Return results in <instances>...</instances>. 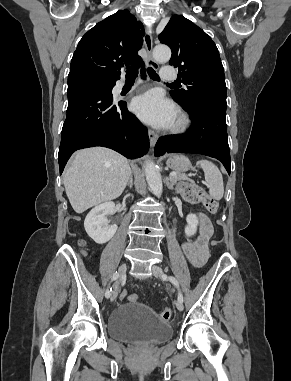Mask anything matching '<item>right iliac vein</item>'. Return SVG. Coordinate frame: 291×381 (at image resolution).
<instances>
[{"label": "right iliac vein", "instance_id": "obj_1", "mask_svg": "<svg viewBox=\"0 0 291 381\" xmlns=\"http://www.w3.org/2000/svg\"><path fill=\"white\" fill-rule=\"evenodd\" d=\"M126 269H127L126 264H122L119 267L118 274L120 277L124 276V274L126 273ZM117 295H118V285H115L113 288V291L111 293V297H110L111 301H114L116 299Z\"/></svg>", "mask_w": 291, "mask_h": 381}]
</instances>
